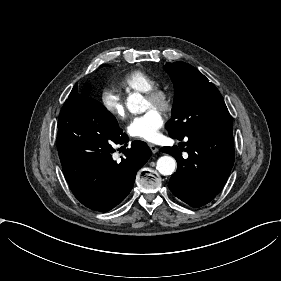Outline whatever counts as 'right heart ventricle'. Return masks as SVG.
<instances>
[{
  "instance_id": "right-heart-ventricle-1",
  "label": "right heart ventricle",
  "mask_w": 281,
  "mask_h": 281,
  "mask_svg": "<svg viewBox=\"0 0 281 281\" xmlns=\"http://www.w3.org/2000/svg\"><path fill=\"white\" fill-rule=\"evenodd\" d=\"M119 88L125 92L149 93L156 89V80L141 68L133 69L119 81Z\"/></svg>"
}]
</instances>
